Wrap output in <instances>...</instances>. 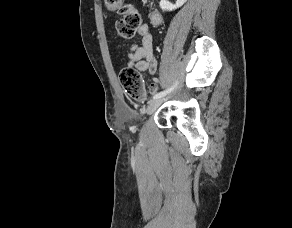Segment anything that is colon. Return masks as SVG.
I'll use <instances>...</instances> for the list:
<instances>
[{
    "label": "colon",
    "mask_w": 292,
    "mask_h": 228,
    "mask_svg": "<svg viewBox=\"0 0 292 228\" xmlns=\"http://www.w3.org/2000/svg\"><path fill=\"white\" fill-rule=\"evenodd\" d=\"M110 12L121 15L116 22V31L123 39L131 38L144 25L141 13L126 0H104ZM152 22L160 23V17L152 14ZM120 83L125 93L136 101H144L146 90L140 72L134 67H126L119 74Z\"/></svg>",
    "instance_id": "5ec220e1"
}]
</instances>
